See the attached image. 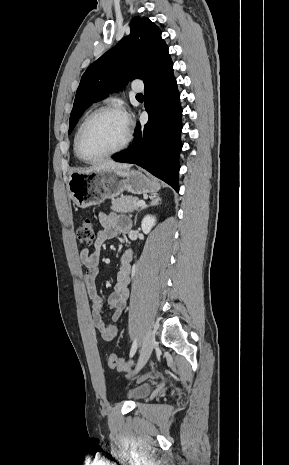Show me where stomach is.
I'll list each match as a JSON object with an SVG mask.
<instances>
[{"label":"stomach","mask_w":289,"mask_h":465,"mask_svg":"<svg viewBox=\"0 0 289 465\" xmlns=\"http://www.w3.org/2000/svg\"><path fill=\"white\" fill-rule=\"evenodd\" d=\"M67 187L73 203L84 209L99 205L106 199H113L123 191L133 194L155 193L161 185L141 171L123 169L75 172L69 176Z\"/></svg>","instance_id":"obj_1"}]
</instances>
